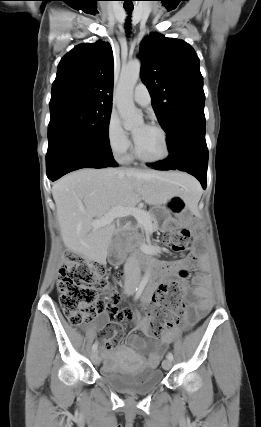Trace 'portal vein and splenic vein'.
Listing matches in <instances>:
<instances>
[{
  "instance_id": "obj_1",
  "label": "portal vein and splenic vein",
  "mask_w": 261,
  "mask_h": 427,
  "mask_svg": "<svg viewBox=\"0 0 261 427\" xmlns=\"http://www.w3.org/2000/svg\"><path fill=\"white\" fill-rule=\"evenodd\" d=\"M127 216H133L139 223L144 225L149 223L148 214L146 211L135 207L117 206L110 210V212L104 217L93 220L91 225L93 227H101L110 224L115 218H122Z\"/></svg>"
}]
</instances>
